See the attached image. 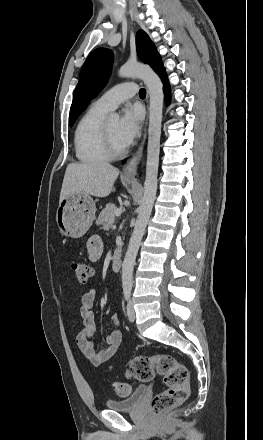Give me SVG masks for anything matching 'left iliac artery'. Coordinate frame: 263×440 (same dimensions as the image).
<instances>
[{"label":"left iliac artery","instance_id":"obj_1","mask_svg":"<svg viewBox=\"0 0 263 440\" xmlns=\"http://www.w3.org/2000/svg\"><path fill=\"white\" fill-rule=\"evenodd\" d=\"M130 294H131V288L129 287L124 288V296L126 300L130 298Z\"/></svg>","mask_w":263,"mask_h":440}]
</instances>
